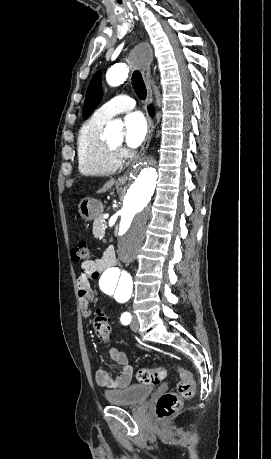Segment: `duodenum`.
Here are the masks:
<instances>
[{
	"mask_svg": "<svg viewBox=\"0 0 271 459\" xmlns=\"http://www.w3.org/2000/svg\"><path fill=\"white\" fill-rule=\"evenodd\" d=\"M110 264H113V258L110 256Z\"/></svg>",
	"mask_w": 271,
	"mask_h": 459,
	"instance_id": "obj_1",
	"label": "duodenum"
}]
</instances>
